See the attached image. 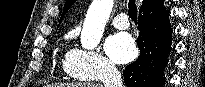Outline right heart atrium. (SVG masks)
<instances>
[{"mask_svg":"<svg viewBox=\"0 0 205 87\" xmlns=\"http://www.w3.org/2000/svg\"><path fill=\"white\" fill-rule=\"evenodd\" d=\"M69 63L73 72L85 80H96L117 72L114 63L94 49H72Z\"/></svg>","mask_w":205,"mask_h":87,"instance_id":"d8ad5b80","label":"right heart atrium"}]
</instances>
